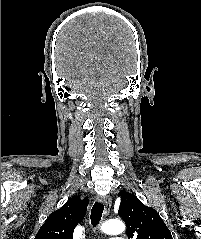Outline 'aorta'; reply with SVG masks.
<instances>
[{"mask_svg": "<svg viewBox=\"0 0 201 239\" xmlns=\"http://www.w3.org/2000/svg\"><path fill=\"white\" fill-rule=\"evenodd\" d=\"M100 230L107 235H118L124 232L125 225L119 219H112L103 223Z\"/></svg>", "mask_w": 201, "mask_h": 239, "instance_id": "762f6f07", "label": "aorta"}]
</instances>
